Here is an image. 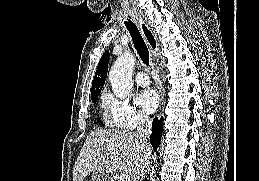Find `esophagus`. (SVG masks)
Listing matches in <instances>:
<instances>
[{
    "label": "esophagus",
    "mask_w": 259,
    "mask_h": 181,
    "mask_svg": "<svg viewBox=\"0 0 259 181\" xmlns=\"http://www.w3.org/2000/svg\"><path fill=\"white\" fill-rule=\"evenodd\" d=\"M136 19L140 26L141 32H142L148 46L150 47L151 51L153 53L158 52L159 45H158L155 34L152 32V30L150 29L148 24L139 15H136Z\"/></svg>",
    "instance_id": "34e87169"
}]
</instances>
